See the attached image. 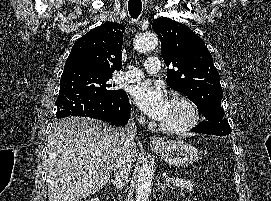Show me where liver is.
I'll return each mask as SVG.
<instances>
[{
	"label": "liver",
	"mask_w": 271,
	"mask_h": 201,
	"mask_svg": "<svg viewBox=\"0 0 271 201\" xmlns=\"http://www.w3.org/2000/svg\"><path fill=\"white\" fill-rule=\"evenodd\" d=\"M116 129L88 117L57 120L48 138L46 161L49 201H79L108 182L118 143ZM137 147L132 149V161Z\"/></svg>",
	"instance_id": "1"
}]
</instances>
